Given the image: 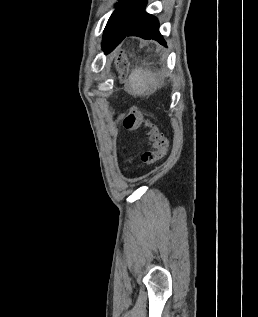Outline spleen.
Segmentation results:
<instances>
[{
  "label": "spleen",
  "mask_w": 258,
  "mask_h": 317,
  "mask_svg": "<svg viewBox=\"0 0 258 317\" xmlns=\"http://www.w3.org/2000/svg\"><path fill=\"white\" fill-rule=\"evenodd\" d=\"M163 80L157 78L156 72L144 70V68H133L128 76V92L135 96H146L152 94L157 88L163 86Z\"/></svg>",
  "instance_id": "spleen-1"
}]
</instances>
